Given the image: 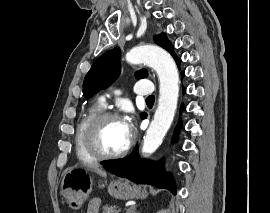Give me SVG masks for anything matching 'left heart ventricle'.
I'll list each match as a JSON object with an SVG mask.
<instances>
[{"label": "left heart ventricle", "instance_id": "obj_1", "mask_svg": "<svg viewBox=\"0 0 270 213\" xmlns=\"http://www.w3.org/2000/svg\"><path fill=\"white\" fill-rule=\"evenodd\" d=\"M129 142V137L121 120H108L98 134V146L107 154L123 150Z\"/></svg>", "mask_w": 270, "mask_h": 213}]
</instances>
